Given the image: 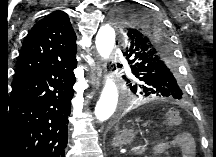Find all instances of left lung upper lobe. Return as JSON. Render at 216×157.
<instances>
[{"mask_svg":"<svg viewBox=\"0 0 216 157\" xmlns=\"http://www.w3.org/2000/svg\"><path fill=\"white\" fill-rule=\"evenodd\" d=\"M111 20L120 31L123 55L139 84L133 91L163 100H182L185 91L175 66L170 33L154 10L135 2L114 9Z\"/></svg>","mask_w":216,"mask_h":157,"instance_id":"left-lung-upper-lobe-1","label":"left lung upper lobe"}]
</instances>
